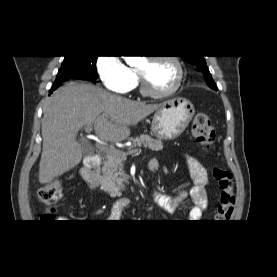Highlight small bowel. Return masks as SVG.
I'll use <instances>...</instances> for the list:
<instances>
[{"label": "small bowel", "mask_w": 277, "mask_h": 277, "mask_svg": "<svg viewBox=\"0 0 277 277\" xmlns=\"http://www.w3.org/2000/svg\"><path fill=\"white\" fill-rule=\"evenodd\" d=\"M185 165L190 173L193 184L190 187H182L175 195L155 192V201L165 210L174 211L182 202L191 200L192 206L188 217L191 220H199L208 206V175L203 164L196 158L188 156L185 158ZM149 170L156 171L159 168L157 159H150ZM127 201L121 200L114 204L112 208V218H118L121 211L126 207Z\"/></svg>", "instance_id": "c3829d8e"}]
</instances>
